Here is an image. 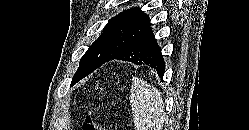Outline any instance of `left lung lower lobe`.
Returning a JSON list of instances; mask_svg holds the SVG:
<instances>
[{
    "label": "left lung lower lobe",
    "instance_id": "obj_1",
    "mask_svg": "<svg viewBox=\"0 0 249 130\" xmlns=\"http://www.w3.org/2000/svg\"><path fill=\"white\" fill-rule=\"evenodd\" d=\"M114 59L129 61L136 65H148L153 68L160 77L164 74L165 62L161 48L158 46L150 26L132 39L111 60Z\"/></svg>",
    "mask_w": 249,
    "mask_h": 130
}]
</instances>
